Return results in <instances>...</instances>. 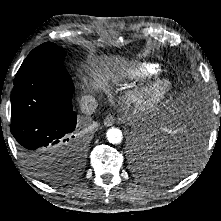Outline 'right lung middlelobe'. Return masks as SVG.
Wrapping results in <instances>:
<instances>
[{
  "label": "right lung middle lobe",
  "mask_w": 221,
  "mask_h": 221,
  "mask_svg": "<svg viewBox=\"0 0 221 221\" xmlns=\"http://www.w3.org/2000/svg\"><path fill=\"white\" fill-rule=\"evenodd\" d=\"M66 52L54 43H44L33 49L22 63L14 79L17 84L38 71L63 65Z\"/></svg>",
  "instance_id": "right-lung-middle-lobe-1"
}]
</instances>
